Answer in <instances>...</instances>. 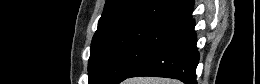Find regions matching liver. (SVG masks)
I'll return each instance as SVG.
<instances>
[{"instance_id":"1","label":"liver","mask_w":260,"mask_h":84,"mask_svg":"<svg viewBox=\"0 0 260 84\" xmlns=\"http://www.w3.org/2000/svg\"><path fill=\"white\" fill-rule=\"evenodd\" d=\"M128 82L129 84H177L176 81L159 78H135Z\"/></svg>"}]
</instances>
